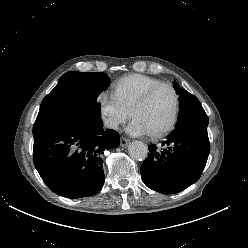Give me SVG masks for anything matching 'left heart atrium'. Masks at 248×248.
Returning a JSON list of instances; mask_svg holds the SVG:
<instances>
[{"mask_svg":"<svg viewBox=\"0 0 248 248\" xmlns=\"http://www.w3.org/2000/svg\"><path fill=\"white\" fill-rule=\"evenodd\" d=\"M127 132L132 136H142L148 134L146 130L135 120L129 124Z\"/></svg>","mask_w":248,"mask_h":248,"instance_id":"obj_1","label":"left heart atrium"}]
</instances>
